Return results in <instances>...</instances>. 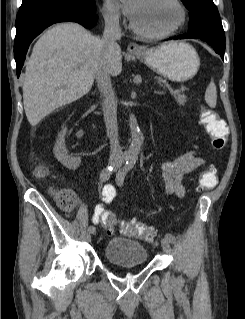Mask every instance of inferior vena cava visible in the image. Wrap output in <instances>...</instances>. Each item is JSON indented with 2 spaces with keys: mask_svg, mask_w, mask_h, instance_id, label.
<instances>
[{
  "mask_svg": "<svg viewBox=\"0 0 245 319\" xmlns=\"http://www.w3.org/2000/svg\"><path fill=\"white\" fill-rule=\"evenodd\" d=\"M104 20L105 29L102 39V47L104 49L106 59H111L121 51L117 43V40L121 39L119 14L115 12H107L104 15ZM106 64L107 60L97 69L96 81L100 92L105 98L103 104V115L107 129V137L110 140V161L122 162L123 152L118 138L116 104Z\"/></svg>",
  "mask_w": 245,
  "mask_h": 319,
  "instance_id": "inferior-vena-cava-1",
  "label": "inferior vena cava"
}]
</instances>
